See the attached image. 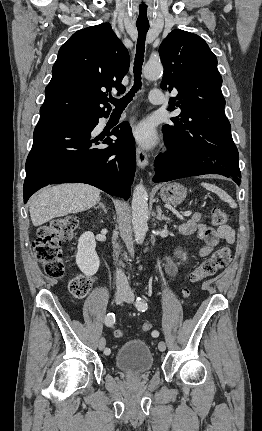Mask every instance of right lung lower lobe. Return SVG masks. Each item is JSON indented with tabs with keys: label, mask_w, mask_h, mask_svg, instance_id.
<instances>
[{
	"label": "right lung lower lobe",
	"mask_w": 262,
	"mask_h": 431,
	"mask_svg": "<svg viewBox=\"0 0 262 431\" xmlns=\"http://www.w3.org/2000/svg\"><path fill=\"white\" fill-rule=\"evenodd\" d=\"M99 118H40L26 161L24 203L40 188L66 182L87 183L129 198L136 168L131 128L124 122L112 130L115 143L110 137L94 138L91 133ZM99 144L110 146L97 148Z\"/></svg>",
	"instance_id": "obj_1"
}]
</instances>
